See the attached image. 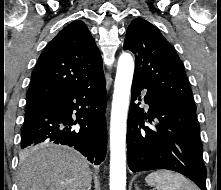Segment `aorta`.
Instances as JSON below:
<instances>
[{
    "label": "aorta",
    "mask_w": 221,
    "mask_h": 190,
    "mask_svg": "<svg viewBox=\"0 0 221 190\" xmlns=\"http://www.w3.org/2000/svg\"><path fill=\"white\" fill-rule=\"evenodd\" d=\"M134 61L122 53L118 59L110 120V190H126V128Z\"/></svg>",
    "instance_id": "1"
}]
</instances>
